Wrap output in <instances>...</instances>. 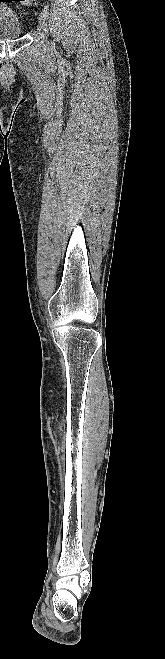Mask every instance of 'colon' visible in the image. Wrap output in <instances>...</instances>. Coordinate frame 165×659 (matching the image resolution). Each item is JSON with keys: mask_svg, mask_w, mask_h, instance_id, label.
Wrapping results in <instances>:
<instances>
[{"mask_svg": "<svg viewBox=\"0 0 165 659\" xmlns=\"http://www.w3.org/2000/svg\"><path fill=\"white\" fill-rule=\"evenodd\" d=\"M21 1H23L25 3H31L33 0H21Z\"/></svg>", "mask_w": 165, "mask_h": 659, "instance_id": "5ec220e1", "label": "colon"}]
</instances>
